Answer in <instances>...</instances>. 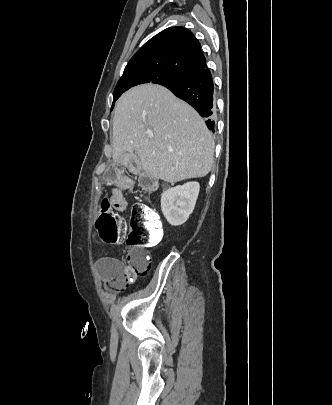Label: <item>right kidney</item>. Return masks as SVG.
I'll list each match as a JSON object with an SVG mask.
<instances>
[{"instance_id": "obj_1", "label": "right kidney", "mask_w": 332, "mask_h": 405, "mask_svg": "<svg viewBox=\"0 0 332 405\" xmlns=\"http://www.w3.org/2000/svg\"><path fill=\"white\" fill-rule=\"evenodd\" d=\"M199 190L198 182H188L163 192L161 209L170 225L179 226L188 220L194 210Z\"/></svg>"}]
</instances>
